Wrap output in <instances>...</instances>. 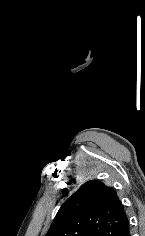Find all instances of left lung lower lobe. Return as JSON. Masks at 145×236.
<instances>
[{
	"instance_id": "1",
	"label": "left lung lower lobe",
	"mask_w": 145,
	"mask_h": 236,
	"mask_svg": "<svg viewBox=\"0 0 145 236\" xmlns=\"http://www.w3.org/2000/svg\"><path fill=\"white\" fill-rule=\"evenodd\" d=\"M121 236H130V234H129V226L125 229V231L121 234Z\"/></svg>"
}]
</instances>
